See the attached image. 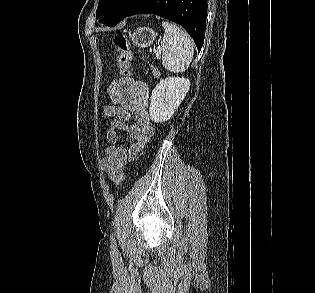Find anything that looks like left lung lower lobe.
<instances>
[{
  "label": "left lung lower lobe",
  "instance_id": "1",
  "mask_svg": "<svg viewBox=\"0 0 315 293\" xmlns=\"http://www.w3.org/2000/svg\"><path fill=\"white\" fill-rule=\"evenodd\" d=\"M156 14L180 24L200 51L204 42L206 0H141L128 14Z\"/></svg>",
  "mask_w": 315,
  "mask_h": 293
}]
</instances>
